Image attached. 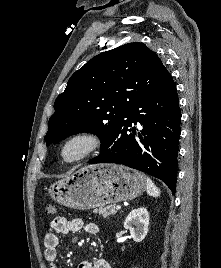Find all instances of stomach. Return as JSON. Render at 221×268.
Returning a JSON list of instances; mask_svg holds the SVG:
<instances>
[{"mask_svg": "<svg viewBox=\"0 0 221 268\" xmlns=\"http://www.w3.org/2000/svg\"><path fill=\"white\" fill-rule=\"evenodd\" d=\"M146 184L142 173L121 165H88L51 185L49 194L65 207L87 210L134 199Z\"/></svg>", "mask_w": 221, "mask_h": 268, "instance_id": "stomach-1", "label": "stomach"}]
</instances>
